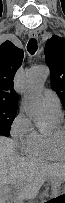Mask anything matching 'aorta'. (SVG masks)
I'll return each instance as SVG.
<instances>
[{
  "label": "aorta",
  "mask_w": 65,
  "mask_h": 203,
  "mask_svg": "<svg viewBox=\"0 0 65 203\" xmlns=\"http://www.w3.org/2000/svg\"><path fill=\"white\" fill-rule=\"evenodd\" d=\"M49 71L47 67H38L32 75V91L28 94L30 114L39 128H46L50 124L51 116L45 108V105L37 92V87L47 78Z\"/></svg>",
  "instance_id": "1"
}]
</instances>
